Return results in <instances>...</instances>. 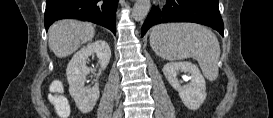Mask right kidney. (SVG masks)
<instances>
[{
  "instance_id": "right-kidney-1",
  "label": "right kidney",
  "mask_w": 273,
  "mask_h": 118,
  "mask_svg": "<svg viewBox=\"0 0 273 118\" xmlns=\"http://www.w3.org/2000/svg\"><path fill=\"white\" fill-rule=\"evenodd\" d=\"M91 55L97 56L100 68L104 70L110 61L111 50L107 42L103 40L90 43L74 54L66 69L70 95L84 113L93 109L100 94L98 83H95L92 88L85 87L86 75L90 73L86 62Z\"/></svg>"
}]
</instances>
